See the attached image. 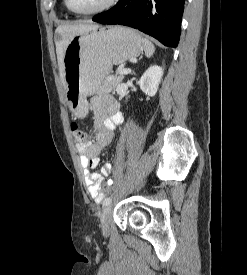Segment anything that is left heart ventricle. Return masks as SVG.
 Listing matches in <instances>:
<instances>
[{"instance_id":"b2bd125f","label":"left heart ventricle","mask_w":247,"mask_h":275,"mask_svg":"<svg viewBox=\"0 0 247 275\" xmlns=\"http://www.w3.org/2000/svg\"><path fill=\"white\" fill-rule=\"evenodd\" d=\"M71 8L77 11H90L106 3L108 0H68Z\"/></svg>"}]
</instances>
